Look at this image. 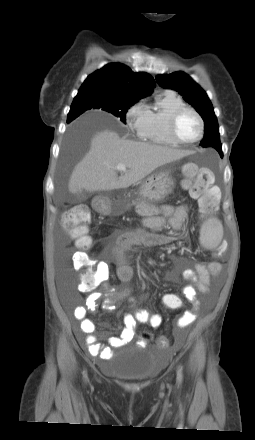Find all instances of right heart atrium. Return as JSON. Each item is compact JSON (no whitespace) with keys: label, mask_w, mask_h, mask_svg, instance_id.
<instances>
[{"label":"right heart atrium","mask_w":255,"mask_h":440,"mask_svg":"<svg viewBox=\"0 0 255 440\" xmlns=\"http://www.w3.org/2000/svg\"><path fill=\"white\" fill-rule=\"evenodd\" d=\"M147 107L143 101L134 103L126 112V122L130 129L139 134L143 127Z\"/></svg>","instance_id":"d8ad5b80"}]
</instances>
